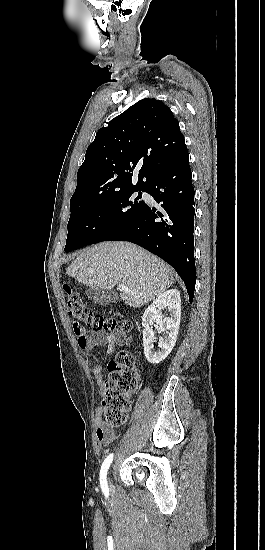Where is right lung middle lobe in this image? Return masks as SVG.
<instances>
[{"label":"right lung middle lobe","instance_id":"dd1d6c3e","mask_svg":"<svg viewBox=\"0 0 265 550\" xmlns=\"http://www.w3.org/2000/svg\"><path fill=\"white\" fill-rule=\"evenodd\" d=\"M141 191L146 189H131L89 200L71 199L65 251L104 241L135 219L146 206L139 200Z\"/></svg>","mask_w":265,"mask_h":550}]
</instances>
